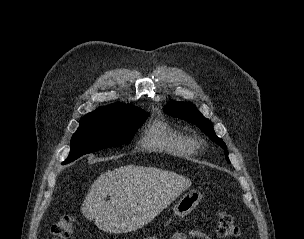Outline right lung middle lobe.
Wrapping results in <instances>:
<instances>
[{"instance_id":"dd1d6c3e","label":"right lung middle lobe","mask_w":304,"mask_h":239,"mask_svg":"<svg viewBox=\"0 0 304 239\" xmlns=\"http://www.w3.org/2000/svg\"><path fill=\"white\" fill-rule=\"evenodd\" d=\"M148 115L144 110L134 108L115 116L83 117L72 137L70 154L63 164L87 153L129 144L136 129L144 123Z\"/></svg>"}]
</instances>
